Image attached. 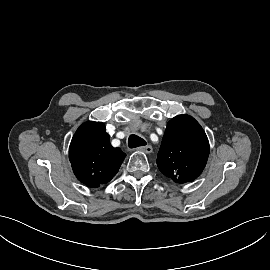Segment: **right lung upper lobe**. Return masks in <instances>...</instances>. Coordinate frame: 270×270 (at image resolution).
Masks as SVG:
<instances>
[{"instance_id": "1", "label": "right lung upper lobe", "mask_w": 270, "mask_h": 270, "mask_svg": "<svg viewBox=\"0 0 270 270\" xmlns=\"http://www.w3.org/2000/svg\"><path fill=\"white\" fill-rule=\"evenodd\" d=\"M126 154L110 144L102 122L83 123L74 134L69 159L77 179L88 187L109 182L118 172Z\"/></svg>"}]
</instances>
